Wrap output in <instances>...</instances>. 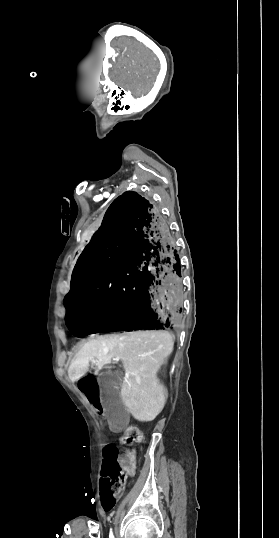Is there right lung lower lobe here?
Returning <instances> with one entry per match:
<instances>
[{
	"label": "right lung lower lobe",
	"instance_id": "right-lung-lower-lobe-1",
	"mask_svg": "<svg viewBox=\"0 0 279 538\" xmlns=\"http://www.w3.org/2000/svg\"><path fill=\"white\" fill-rule=\"evenodd\" d=\"M181 265L168 224L148 199L125 192L80 255L64 298L74 335L163 330L182 313Z\"/></svg>",
	"mask_w": 279,
	"mask_h": 538
}]
</instances>
